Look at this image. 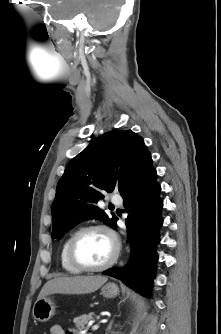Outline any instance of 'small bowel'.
Masks as SVG:
<instances>
[{"label": "small bowel", "instance_id": "1", "mask_svg": "<svg viewBox=\"0 0 221 334\" xmlns=\"http://www.w3.org/2000/svg\"><path fill=\"white\" fill-rule=\"evenodd\" d=\"M49 334H74L73 332H65L60 325H53L50 328Z\"/></svg>", "mask_w": 221, "mask_h": 334}]
</instances>
